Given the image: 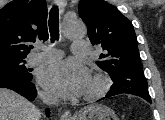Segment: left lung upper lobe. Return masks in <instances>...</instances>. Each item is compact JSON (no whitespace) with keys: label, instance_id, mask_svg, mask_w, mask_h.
I'll return each instance as SVG.
<instances>
[{"label":"left lung upper lobe","instance_id":"1","mask_svg":"<svg viewBox=\"0 0 165 120\" xmlns=\"http://www.w3.org/2000/svg\"><path fill=\"white\" fill-rule=\"evenodd\" d=\"M78 11L91 43L104 50L96 63L114 82L108 96L128 93L151 101L130 20L104 0H80Z\"/></svg>","mask_w":165,"mask_h":120}]
</instances>
